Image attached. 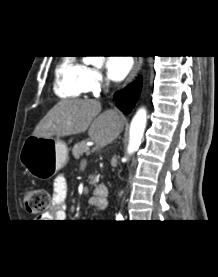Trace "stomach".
Masks as SVG:
<instances>
[{
  "mask_svg": "<svg viewBox=\"0 0 218 277\" xmlns=\"http://www.w3.org/2000/svg\"><path fill=\"white\" fill-rule=\"evenodd\" d=\"M19 160L33 177L48 179L68 162V147L58 138L32 135L23 142Z\"/></svg>",
  "mask_w": 218,
  "mask_h": 277,
  "instance_id": "0dacf381",
  "label": "stomach"
}]
</instances>
